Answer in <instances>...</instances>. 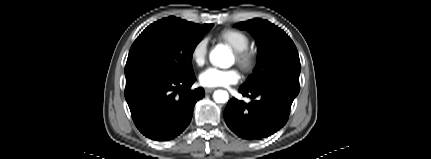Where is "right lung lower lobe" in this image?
I'll return each instance as SVG.
<instances>
[{"label":"right lung lower lobe","instance_id":"right-lung-lower-lobe-1","mask_svg":"<svg viewBox=\"0 0 431 159\" xmlns=\"http://www.w3.org/2000/svg\"><path fill=\"white\" fill-rule=\"evenodd\" d=\"M195 76L151 70L126 80L125 98L136 127L155 141H169L189 125L204 89L190 90Z\"/></svg>","mask_w":431,"mask_h":159}]
</instances>
